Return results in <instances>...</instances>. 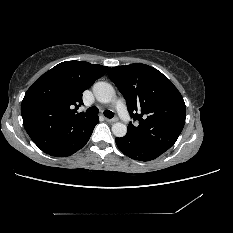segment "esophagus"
<instances>
[{"instance_id":"34e87169","label":"esophagus","mask_w":233,"mask_h":233,"mask_svg":"<svg viewBox=\"0 0 233 233\" xmlns=\"http://www.w3.org/2000/svg\"><path fill=\"white\" fill-rule=\"evenodd\" d=\"M105 121H106V122L113 123V122H116V121H117V118H112V119L105 118Z\"/></svg>"}]
</instances>
